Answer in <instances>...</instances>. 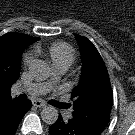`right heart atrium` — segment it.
I'll return each mask as SVG.
<instances>
[{
    "label": "right heart atrium",
    "instance_id": "obj_1",
    "mask_svg": "<svg viewBox=\"0 0 135 135\" xmlns=\"http://www.w3.org/2000/svg\"><path fill=\"white\" fill-rule=\"evenodd\" d=\"M32 60H33V55H32L31 52H27L26 54H24V56H23V64L25 66L30 65Z\"/></svg>",
    "mask_w": 135,
    "mask_h": 135
}]
</instances>
